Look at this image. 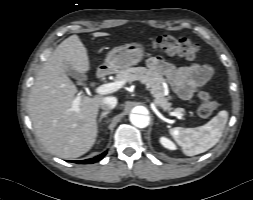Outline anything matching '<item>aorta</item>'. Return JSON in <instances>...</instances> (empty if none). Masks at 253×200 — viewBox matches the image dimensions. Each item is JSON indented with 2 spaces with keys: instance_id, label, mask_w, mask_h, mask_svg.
<instances>
[{
  "instance_id": "obj_1",
  "label": "aorta",
  "mask_w": 253,
  "mask_h": 200,
  "mask_svg": "<svg viewBox=\"0 0 253 200\" xmlns=\"http://www.w3.org/2000/svg\"><path fill=\"white\" fill-rule=\"evenodd\" d=\"M130 122L138 128H145L149 125L150 119L146 115L131 114Z\"/></svg>"
}]
</instances>
